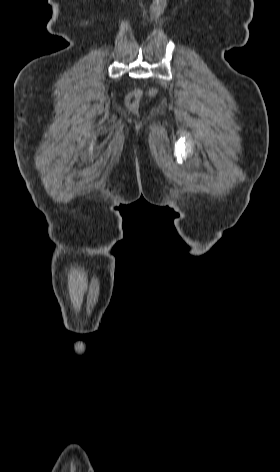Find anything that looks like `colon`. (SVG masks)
Segmentation results:
<instances>
[{"label":"colon","mask_w":280,"mask_h":472,"mask_svg":"<svg viewBox=\"0 0 280 472\" xmlns=\"http://www.w3.org/2000/svg\"><path fill=\"white\" fill-rule=\"evenodd\" d=\"M155 91L154 90H150L149 91V95H154ZM140 97H141V91L140 90H133L131 92H129V94L127 95L126 97V106L130 109V110H136L137 107H138V104H139V100H140Z\"/></svg>","instance_id":"1"}]
</instances>
